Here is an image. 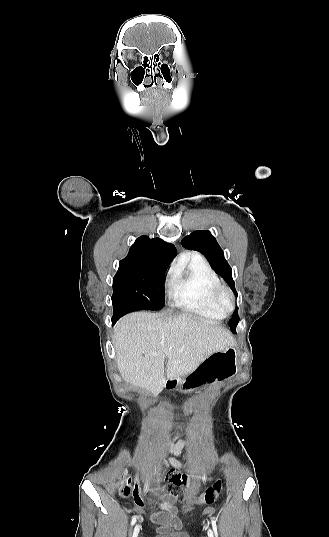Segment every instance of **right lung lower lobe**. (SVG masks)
I'll list each match as a JSON object with an SVG mask.
<instances>
[{"label":"right lung lower lobe","mask_w":329,"mask_h":537,"mask_svg":"<svg viewBox=\"0 0 329 537\" xmlns=\"http://www.w3.org/2000/svg\"><path fill=\"white\" fill-rule=\"evenodd\" d=\"M116 321L115 320H112V324H114Z\"/></svg>","instance_id":"right-lung-lower-lobe-1"}]
</instances>
